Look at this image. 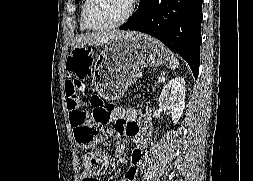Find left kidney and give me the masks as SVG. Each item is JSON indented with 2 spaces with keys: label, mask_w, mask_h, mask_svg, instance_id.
Wrapping results in <instances>:
<instances>
[{
  "label": "left kidney",
  "mask_w": 253,
  "mask_h": 181,
  "mask_svg": "<svg viewBox=\"0 0 253 181\" xmlns=\"http://www.w3.org/2000/svg\"><path fill=\"white\" fill-rule=\"evenodd\" d=\"M185 81L182 77L172 79L162 90L159 97V107L169 110L172 121L177 124L185 108Z\"/></svg>",
  "instance_id": "1"
}]
</instances>
